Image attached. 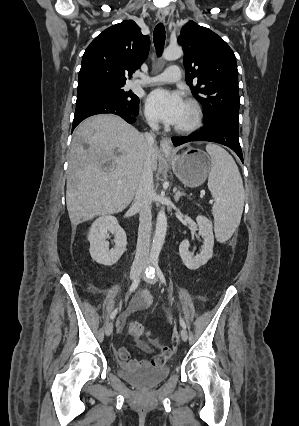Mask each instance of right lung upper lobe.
Returning a JSON list of instances; mask_svg holds the SVG:
<instances>
[{
    "instance_id": "cb5924a9",
    "label": "right lung upper lobe",
    "mask_w": 299,
    "mask_h": 426,
    "mask_svg": "<svg viewBox=\"0 0 299 426\" xmlns=\"http://www.w3.org/2000/svg\"><path fill=\"white\" fill-rule=\"evenodd\" d=\"M149 36L127 20L98 35L82 58L78 86L95 83L125 84L148 56Z\"/></svg>"
}]
</instances>
